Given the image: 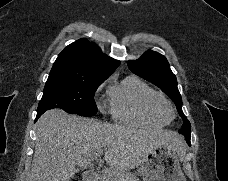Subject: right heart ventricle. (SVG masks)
Segmentation results:
<instances>
[{
	"label": "right heart ventricle",
	"mask_w": 228,
	"mask_h": 181,
	"mask_svg": "<svg viewBox=\"0 0 228 181\" xmlns=\"http://www.w3.org/2000/svg\"><path fill=\"white\" fill-rule=\"evenodd\" d=\"M119 80L118 74L110 76L108 84L111 113L121 123L162 127L168 120V112L157 108L162 96L134 75Z\"/></svg>",
	"instance_id": "obj_1"
}]
</instances>
